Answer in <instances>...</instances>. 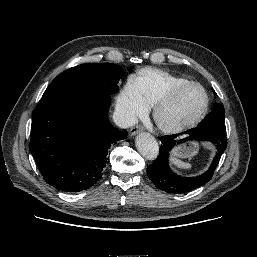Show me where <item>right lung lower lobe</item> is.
<instances>
[{
    "instance_id": "1",
    "label": "right lung lower lobe",
    "mask_w": 257,
    "mask_h": 257,
    "mask_svg": "<svg viewBox=\"0 0 257 257\" xmlns=\"http://www.w3.org/2000/svg\"><path fill=\"white\" fill-rule=\"evenodd\" d=\"M110 95L69 92L41 98L32 115L29 149L44 180L66 192L102 176L111 144L125 139L107 118Z\"/></svg>"
}]
</instances>
